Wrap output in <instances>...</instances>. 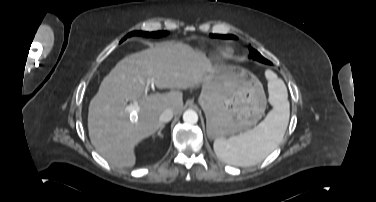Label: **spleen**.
I'll list each match as a JSON object with an SVG mask.
<instances>
[{"mask_svg":"<svg viewBox=\"0 0 376 202\" xmlns=\"http://www.w3.org/2000/svg\"><path fill=\"white\" fill-rule=\"evenodd\" d=\"M269 102L273 109L254 129L229 139L214 141V151L222 161L237 166H253L264 160L283 139L290 108L284 82L267 71Z\"/></svg>","mask_w":376,"mask_h":202,"instance_id":"spleen-1","label":"spleen"}]
</instances>
